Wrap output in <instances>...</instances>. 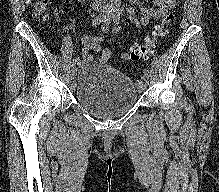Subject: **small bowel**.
I'll return each mask as SVG.
<instances>
[{
    "mask_svg": "<svg viewBox=\"0 0 219 192\" xmlns=\"http://www.w3.org/2000/svg\"><path fill=\"white\" fill-rule=\"evenodd\" d=\"M129 2L131 3V6L126 9V14L138 28L148 24L151 20L164 17L167 12L175 6V0H152L153 7L148 6L143 0H129ZM64 12V9L61 6H58L55 9L54 14L58 17L64 14ZM136 12L141 14L140 19L134 17ZM103 30L105 33L109 32L107 24H103ZM78 41L84 46L80 52L82 59H78L79 65H86L96 60H105L103 52L101 51L102 37H81ZM93 52L100 53V56L98 58L95 57Z\"/></svg>",
    "mask_w": 219,
    "mask_h": 192,
    "instance_id": "1",
    "label": "small bowel"
}]
</instances>
